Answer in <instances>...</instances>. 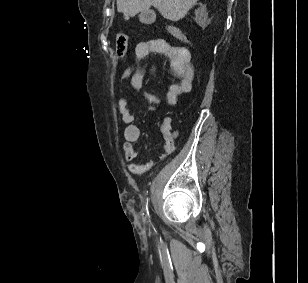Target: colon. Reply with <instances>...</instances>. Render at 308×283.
Returning a JSON list of instances; mask_svg holds the SVG:
<instances>
[{"instance_id":"obj_1","label":"colon","mask_w":308,"mask_h":283,"mask_svg":"<svg viewBox=\"0 0 308 283\" xmlns=\"http://www.w3.org/2000/svg\"><path fill=\"white\" fill-rule=\"evenodd\" d=\"M168 31L177 39L181 40L185 44L188 45V47L192 48L191 42L180 32L174 30V29H168ZM129 43V35L125 33H120L116 38V53L119 58H122L127 50Z\"/></svg>"}]
</instances>
